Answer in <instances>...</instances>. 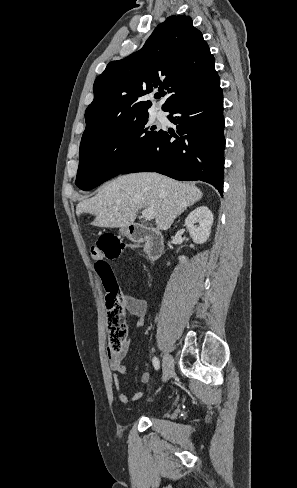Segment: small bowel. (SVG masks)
I'll use <instances>...</instances> for the list:
<instances>
[{
    "instance_id": "small-bowel-1",
    "label": "small bowel",
    "mask_w": 297,
    "mask_h": 488,
    "mask_svg": "<svg viewBox=\"0 0 297 488\" xmlns=\"http://www.w3.org/2000/svg\"><path fill=\"white\" fill-rule=\"evenodd\" d=\"M122 296H123L125 309L136 317L137 325L139 327H142L144 325L146 308H147L146 301L142 298H138L130 294H122ZM128 349H129V341L126 339L124 341L122 350L118 354H113L110 351L108 354L109 366L113 374V384L120 402L124 404H129L131 402L137 401L144 394V392L140 391L135 393L132 396H127L122 391L120 381H119V375H123L127 373V367L122 364V360L126 357L128 353ZM149 378H150L149 371L144 370L141 374L140 381L142 384H145L149 381Z\"/></svg>"
}]
</instances>
